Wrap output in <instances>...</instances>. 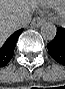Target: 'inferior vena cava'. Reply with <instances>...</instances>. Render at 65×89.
I'll list each match as a JSON object with an SVG mask.
<instances>
[{
    "label": "inferior vena cava",
    "mask_w": 65,
    "mask_h": 89,
    "mask_svg": "<svg viewBox=\"0 0 65 89\" xmlns=\"http://www.w3.org/2000/svg\"><path fill=\"white\" fill-rule=\"evenodd\" d=\"M31 19H32L31 15H24L19 17L16 20V27L17 28L26 27L30 23Z\"/></svg>",
    "instance_id": "inferior-vena-cava-1"
}]
</instances>
